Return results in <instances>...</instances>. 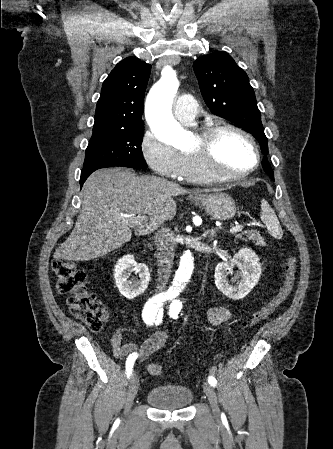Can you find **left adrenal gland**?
Returning <instances> with one entry per match:
<instances>
[{"label": "left adrenal gland", "instance_id": "1", "mask_svg": "<svg viewBox=\"0 0 333 449\" xmlns=\"http://www.w3.org/2000/svg\"><path fill=\"white\" fill-rule=\"evenodd\" d=\"M208 232H209V239L213 240V237L215 236L217 229H211Z\"/></svg>", "mask_w": 333, "mask_h": 449}]
</instances>
